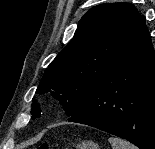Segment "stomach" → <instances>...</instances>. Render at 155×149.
Masks as SVG:
<instances>
[{"mask_svg": "<svg viewBox=\"0 0 155 149\" xmlns=\"http://www.w3.org/2000/svg\"><path fill=\"white\" fill-rule=\"evenodd\" d=\"M76 149H100L98 144L92 141H83L80 144L76 145Z\"/></svg>", "mask_w": 155, "mask_h": 149, "instance_id": "stomach-1", "label": "stomach"}]
</instances>
